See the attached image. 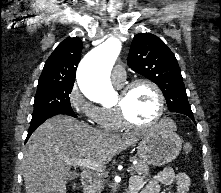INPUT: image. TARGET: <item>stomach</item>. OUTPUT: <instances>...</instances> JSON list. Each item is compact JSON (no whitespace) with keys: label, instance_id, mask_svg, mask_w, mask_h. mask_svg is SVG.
Here are the masks:
<instances>
[{"label":"stomach","instance_id":"1","mask_svg":"<svg viewBox=\"0 0 221 193\" xmlns=\"http://www.w3.org/2000/svg\"><path fill=\"white\" fill-rule=\"evenodd\" d=\"M182 140L163 122L148 132L138 145V156L146 164L160 166L173 161L181 150Z\"/></svg>","mask_w":221,"mask_h":193}]
</instances>
